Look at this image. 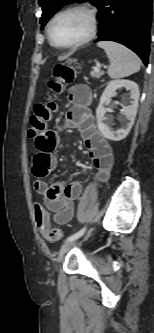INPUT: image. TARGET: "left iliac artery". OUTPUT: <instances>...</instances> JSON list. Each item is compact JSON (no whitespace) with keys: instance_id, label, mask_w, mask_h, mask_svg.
<instances>
[{"instance_id":"44dca946","label":"left iliac artery","mask_w":154,"mask_h":333,"mask_svg":"<svg viewBox=\"0 0 154 333\" xmlns=\"http://www.w3.org/2000/svg\"><path fill=\"white\" fill-rule=\"evenodd\" d=\"M85 230H86V227H83V228H82L81 230H79L77 233H75V234L69 236V237L67 238L66 241H71V240H75V239L79 238L80 236L83 235V233L85 232Z\"/></svg>"}]
</instances>
